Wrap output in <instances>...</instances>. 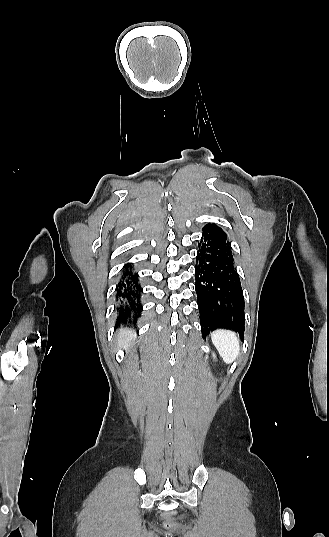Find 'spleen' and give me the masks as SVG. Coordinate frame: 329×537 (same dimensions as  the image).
<instances>
[{"label":"spleen","mask_w":329,"mask_h":537,"mask_svg":"<svg viewBox=\"0 0 329 537\" xmlns=\"http://www.w3.org/2000/svg\"><path fill=\"white\" fill-rule=\"evenodd\" d=\"M211 339L219 354L227 364H231L240 353V342L237 335L229 330H217Z\"/></svg>","instance_id":"1"}]
</instances>
